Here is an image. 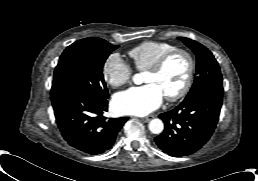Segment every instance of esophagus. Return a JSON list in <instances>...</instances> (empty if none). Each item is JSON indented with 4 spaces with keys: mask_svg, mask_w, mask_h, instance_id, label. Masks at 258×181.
Masks as SVG:
<instances>
[{
    "mask_svg": "<svg viewBox=\"0 0 258 181\" xmlns=\"http://www.w3.org/2000/svg\"><path fill=\"white\" fill-rule=\"evenodd\" d=\"M152 118H153V116H147V117L141 118V120L144 122H149Z\"/></svg>",
    "mask_w": 258,
    "mask_h": 181,
    "instance_id": "1",
    "label": "esophagus"
}]
</instances>
